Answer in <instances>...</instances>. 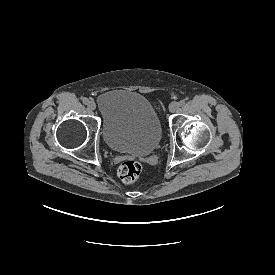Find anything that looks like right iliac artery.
I'll use <instances>...</instances> for the list:
<instances>
[{
	"mask_svg": "<svg viewBox=\"0 0 275 275\" xmlns=\"http://www.w3.org/2000/svg\"><path fill=\"white\" fill-rule=\"evenodd\" d=\"M83 103L88 105L90 103V100L88 98H83Z\"/></svg>",
	"mask_w": 275,
	"mask_h": 275,
	"instance_id": "82829eb1",
	"label": "right iliac artery"
}]
</instances>
